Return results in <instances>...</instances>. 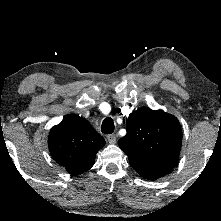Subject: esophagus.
<instances>
[{
  "instance_id": "1",
  "label": "esophagus",
  "mask_w": 221,
  "mask_h": 221,
  "mask_svg": "<svg viewBox=\"0 0 221 221\" xmlns=\"http://www.w3.org/2000/svg\"><path fill=\"white\" fill-rule=\"evenodd\" d=\"M107 140L110 144H115L117 141V137L114 134H110L107 136Z\"/></svg>"
}]
</instances>
